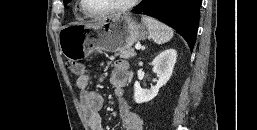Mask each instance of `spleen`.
I'll list each match as a JSON object with an SVG mask.
<instances>
[{
  "instance_id": "3e777b00",
  "label": "spleen",
  "mask_w": 257,
  "mask_h": 130,
  "mask_svg": "<svg viewBox=\"0 0 257 130\" xmlns=\"http://www.w3.org/2000/svg\"><path fill=\"white\" fill-rule=\"evenodd\" d=\"M142 22L146 25L149 36L157 44H164L170 41L174 35L172 28L152 17L144 15L142 16Z\"/></svg>"
}]
</instances>
